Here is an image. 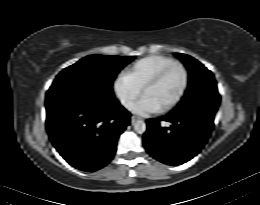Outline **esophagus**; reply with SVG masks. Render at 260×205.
Instances as JSON below:
<instances>
[{
  "instance_id": "34e87169",
  "label": "esophagus",
  "mask_w": 260,
  "mask_h": 205,
  "mask_svg": "<svg viewBox=\"0 0 260 205\" xmlns=\"http://www.w3.org/2000/svg\"><path fill=\"white\" fill-rule=\"evenodd\" d=\"M138 119H140V118L137 117V116H132L131 122L134 123V122L137 121Z\"/></svg>"
}]
</instances>
